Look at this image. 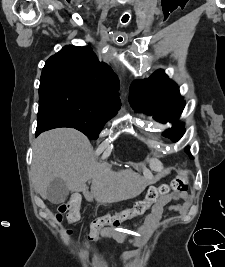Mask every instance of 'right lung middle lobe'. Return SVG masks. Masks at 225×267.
Masks as SVG:
<instances>
[{"label":"right lung middle lobe","mask_w":225,"mask_h":267,"mask_svg":"<svg viewBox=\"0 0 225 267\" xmlns=\"http://www.w3.org/2000/svg\"><path fill=\"white\" fill-rule=\"evenodd\" d=\"M42 106L55 110L90 139H97L105 123L119 110L88 88L64 80L40 81L39 107Z\"/></svg>","instance_id":"obj_1"}]
</instances>
